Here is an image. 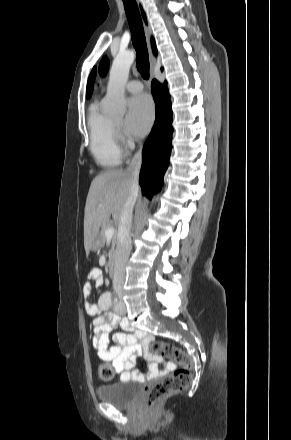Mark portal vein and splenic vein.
<instances>
[{
    "label": "portal vein and splenic vein",
    "instance_id": "obj_1",
    "mask_svg": "<svg viewBox=\"0 0 291 440\" xmlns=\"http://www.w3.org/2000/svg\"><path fill=\"white\" fill-rule=\"evenodd\" d=\"M115 234V229L113 226L109 227L105 231L106 237H112Z\"/></svg>",
    "mask_w": 291,
    "mask_h": 440
}]
</instances>
